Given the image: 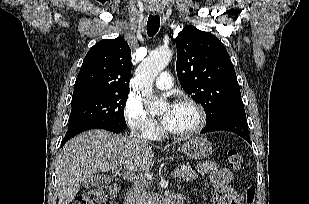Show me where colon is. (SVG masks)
I'll use <instances>...</instances> for the list:
<instances>
[{
	"instance_id": "1",
	"label": "colon",
	"mask_w": 309,
	"mask_h": 204,
	"mask_svg": "<svg viewBox=\"0 0 309 204\" xmlns=\"http://www.w3.org/2000/svg\"><path fill=\"white\" fill-rule=\"evenodd\" d=\"M227 161L232 168L240 172L243 171L244 162L238 150L234 148L229 149L227 151ZM118 190L117 184L100 185L78 196L74 204H110ZM255 193L256 190L252 184H248L245 187V204H254Z\"/></svg>"
}]
</instances>
